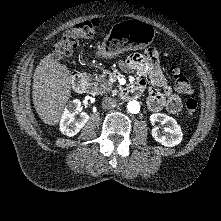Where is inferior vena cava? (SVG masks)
Masks as SVG:
<instances>
[{
  "mask_svg": "<svg viewBox=\"0 0 221 221\" xmlns=\"http://www.w3.org/2000/svg\"><path fill=\"white\" fill-rule=\"evenodd\" d=\"M116 105H117V100L115 98L104 97L102 99V107L104 109H112V108L116 107Z\"/></svg>",
  "mask_w": 221,
  "mask_h": 221,
  "instance_id": "inferior-vena-cava-1",
  "label": "inferior vena cava"
}]
</instances>
